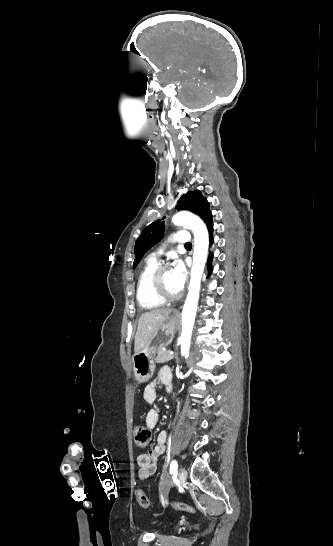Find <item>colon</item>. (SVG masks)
Returning a JSON list of instances; mask_svg holds the SVG:
<instances>
[{"instance_id": "colon-1", "label": "colon", "mask_w": 333, "mask_h": 546, "mask_svg": "<svg viewBox=\"0 0 333 546\" xmlns=\"http://www.w3.org/2000/svg\"><path fill=\"white\" fill-rule=\"evenodd\" d=\"M150 439L151 432L147 427L138 425L134 428V443L137 449H145L149 445ZM137 500L139 505L144 509H150L152 507V503L142 490L137 492ZM165 504L178 511L195 513V509L192 506L183 502L165 501Z\"/></svg>"}]
</instances>
